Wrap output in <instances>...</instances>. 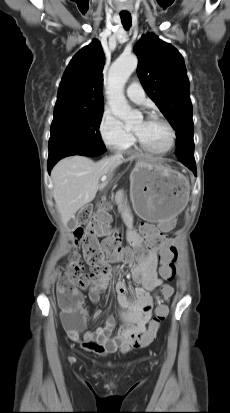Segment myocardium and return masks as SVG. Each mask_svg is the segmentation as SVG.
I'll list each match as a JSON object with an SVG mask.
<instances>
[{"instance_id": "f54148a6", "label": "myocardium", "mask_w": 230, "mask_h": 413, "mask_svg": "<svg viewBox=\"0 0 230 413\" xmlns=\"http://www.w3.org/2000/svg\"><path fill=\"white\" fill-rule=\"evenodd\" d=\"M148 120H157V121L161 122L168 130L169 139H168L167 144L164 147L154 148V147H151V146L147 145L145 142H143L138 137V135L136 134L135 137H136V140L139 143L140 147L146 152H149V153H152V154H157V155H163V154H166L169 151H171L172 148L174 147L175 139H176L175 129L172 126V124L167 119L162 117L161 115L155 114V113L151 114L149 116Z\"/></svg>"}]
</instances>
